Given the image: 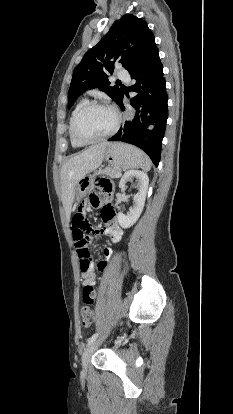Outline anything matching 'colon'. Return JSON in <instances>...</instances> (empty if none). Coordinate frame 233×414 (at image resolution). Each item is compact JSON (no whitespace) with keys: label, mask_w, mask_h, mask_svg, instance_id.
<instances>
[{"label":"colon","mask_w":233,"mask_h":414,"mask_svg":"<svg viewBox=\"0 0 233 414\" xmlns=\"http://www.w3.org/2000/svg\"><path fill=\"white\" fill-rule=\"evenodd\" d=\"M97 185L101 191L104 193H110L112 190V183L106 178H100L97 181ZM73 229H74V241L77 249L80 269L82 271H87L92 266V259L89 253V242H90V232L91 226L82 211H78L73 216ZM82 298L84 306L82 308V325L85 328H88L92 325L94 321V310L93 303L95 299V290L92 286H85L82 292Z\"/></svg>","instance_id":"1"}]
</instances>
